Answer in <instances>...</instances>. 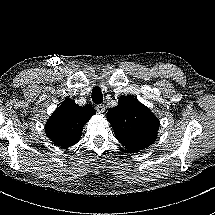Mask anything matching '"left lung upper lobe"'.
Returning <instances> with one entry per match:
<instances>
[{
	"instance_id": "1",
	"label": "left lung upper lobe",
	"mask_w": 215,
	"mask_h": 215,
	"mask_svg": "<svg viewBox=\"0 0 215 215\" xmlns=\"http://www.w3.org/2000/svg\"><path fill=\"white\" fill-rule=\"evenodd\" d=\"M116 138L130 152L153 144L159 128L156 116L136 98L123 96L107 113Z\"/></svg>"
}]
</instances>
